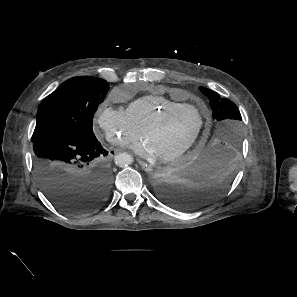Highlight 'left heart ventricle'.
<instances>
[{
	"label": "left heart ventricle",
	"mask_w": 297,
	"mask_h": 297,
	"mask_svg": "<svg viewBox=\"0 0 297 297\" xmlns=\"http://www.w3.org/2000/svg\"><path fill=\"white\" fill-rule=\"evenodd\" d=\"M199 124L198 113L190 108L166 117L144 136L155 148L158 156L176 151L194 134Z\"/></svg>",
	"instance_id": "obj_1"
}]
</instances>
